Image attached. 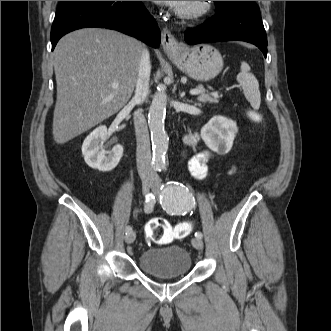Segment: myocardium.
Masks as SVG:
<instances>
[{
  "mask_svg": "<svg viewBox=\"0 0 331 331\" xmlns=\"http://www.w3.org/2000/svg\"><path fill=\"white\" fill-rule=\"evenodd\" d=\"M210 9V1H195L189 8H176V14L183 19H195L206 14Z\"/></svg>",
  "mask_w": 331,
  "mask_h": 331,
  "instance_id": "obj_1",
  "label": "myocardium"
}]
</instances>
